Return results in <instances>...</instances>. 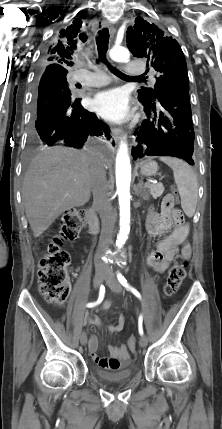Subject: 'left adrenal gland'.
I'll use <instances>...</instances> for the list:
<instances>
[{
  "label": "left adrenal gland",
  "mask_w": 222,
  "mask_h": 429,
  "mask_svg": "<svg viewBox=\"0 0 222 429\" xmlns=\"http://www.w3.org/2000/svg\"><path fill=\"white\" fill-rule=\"evenodd\" d=\"M135 193L138 196L140 195V197H142L144 200H146L148 198L147 189L144 186L142 179L139 180V183L137 184L136 189H135Z\"/></svg>",
  "instance_id": "obj_1"
}]
</instances>
